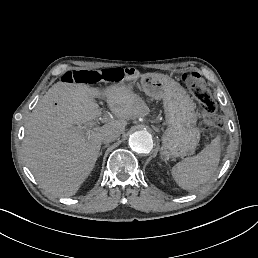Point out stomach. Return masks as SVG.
<instances>
[{
	"instance_id": "1",
	"label": "stomach",
	"mask_w": 258,
	"mask_h": 258,
	"mask_svg": "<svg viewBox=\"0 0 258 258\" xmlns=\"http://www.w3.org/2000/svg\"><path fill=\"white\" fill-rule=\"evenodd\" d=\"M138 79L146 95L164 102L168 129L162 137V154L165 157H178L193 153L200 131L194 127L196 106L186 90L170 77L138 72L126 73L124 80L129 90Z\"/></svg>"
}]
</instances>
